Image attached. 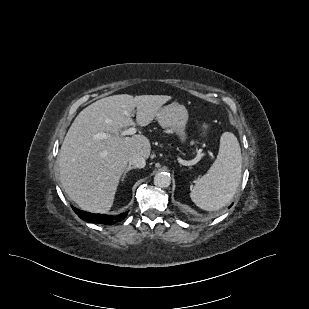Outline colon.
<instances>
[{
    "mask_svg": "<svg viewBox=\"0 0 309 309\" xmlns=\"http://www.w3.org/2000/svg\"><path fill=\"white\" fill-rule=\"evenodd\" d=\"M202 133H203L204 135H206V134L209 133V127H208L207 125H204V126L202 127Z\"/></svg>",
    "mask_w": 309,
    "mask_h": 309,
    "instance_id": "obj_1",
    "label": "colon"
}]
</instances>
